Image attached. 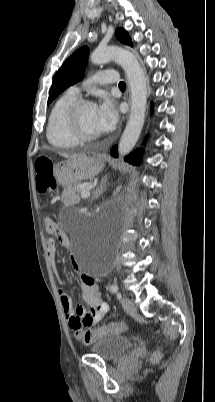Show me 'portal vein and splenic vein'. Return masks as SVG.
Returning <instances> with one entry per match:
<instances>
[{
    "mask_svg": "<svg viewBox=\"0 0 215 402\" xmlns=\"http://www.w3.org/2000/svg\"><path fill=\"white\" fill-rule=\"evenodd\" d=\"M90 195V188H82L81 197L87 198Z\"/></svg>",
    "mask_w": 215,
    "mask_h": 402,
    "instance_id": "1",
    "label": "portal vein and splenic vein"
}]
</instances>
